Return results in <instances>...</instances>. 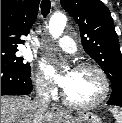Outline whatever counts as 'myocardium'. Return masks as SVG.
I'll list each match as a JSON object with an SVG mask.
<instances>
[{
	"label": "myocardium",
	"mask_w": 122,
	"mask_h": 123,
	"mask_svg": "<svg viewBox=\"0 0 122 123\" xmlns=\"http://www.w3.org/2000/svg\"><path fill=\"white\" fill-rule=\"evenodd\" d=\"M85 68H91V69L95 70L100 75L102 82H103V92L98 98H96L92 101L77 102V101L70 99L68 97V95L66 94L65 90H63L62 91V99L69 106L77 107V108L94 107V106H97V105L101 104L102 102H104L110 93L111 85H110V80H109L106 72L99 65L92 63V62H81V63H78L74 67L75 70H80V69H85Z\"/></svg>",
	"instance_id": "1"
}]
</instances>
